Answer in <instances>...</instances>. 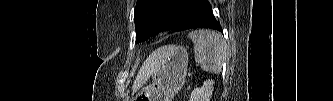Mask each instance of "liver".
Here are the masks:
<instances>
[{"label":"liver","mask_w":333,"mask_h":101,"mask_svg":"<svg viewBox=\"0 0 333 101\" xmlns=\"http://www.w3.org/2000/svg\"><path fill=\"white\" fill-rule=\"evenodd\" d=\"M160 51L161 48L152 53L143 63L134 82L133 91H136L142 87L149 79V77L158 69L160 62Z\"/></svg>","instance_id":"1"}]
</instances>
